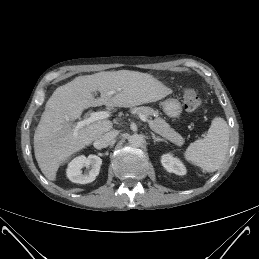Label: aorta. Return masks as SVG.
<instances>
[{"label": "aorta", "mask_w": 259, "mask_h": 259, "mask_svg": "<svg viewBox=\"0 0 259 259\" xmlns=\"http://www.w3.org/2000/svg\"><path fill=\"white\" fill-rule=\"evenodd\" d=\"M128 142L132 147H140L143 144V137L139 134L129 136Z\"/></svg>", "instance_id": "obj_1"}]
</instances>
